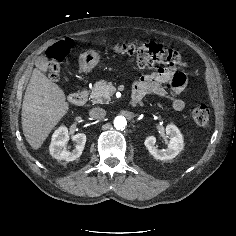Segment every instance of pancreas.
<instances>
[{"label":"pancreas","mask_w":236,"mask_h":236,"mask_svg":"<svg viewBox=\"0 0 236 236\" xmlns=\"http://www.w3.org/2000/svg\"><path fill=\"white\" fill-rule=\"evenodd\" d=\"M116 91L112 82L106 80L97 81L91 92L90 99L92 103H107L111 100V95Z\"/></svg>","instance_id":"1"}]
</instances>
